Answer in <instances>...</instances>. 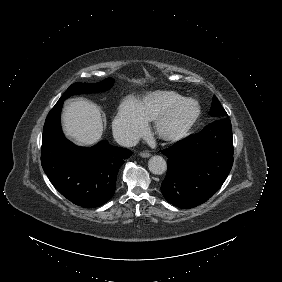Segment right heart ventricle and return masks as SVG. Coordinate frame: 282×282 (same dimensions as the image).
Returning a JSON list of instances; mask_svg holds the SVG:
<instances>
[{
    "instance_id": "obj_1",
    "label": "right heart ventricle",
    "mask_w": 282,
    "mask_h": 282,
    "mask_svg": "<svg viewBox=\"0 0 282 282\" xmlns=\"http://www.w3.org/2000/svg\"><path fill=\"white\" fill-rule=\"evenodd\" d=\"M181 98L174 92L156 91L146 95L140 106L148 120H156L170 104Z\"/></svg>"
}]
</instances>
